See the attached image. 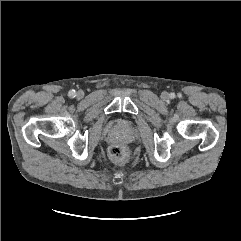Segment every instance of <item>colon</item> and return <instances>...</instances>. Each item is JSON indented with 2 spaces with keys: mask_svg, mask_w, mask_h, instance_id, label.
I'll use <instances>...</instances> for the list:
<instances>
[{
  "mask_svg": "<svg viewBox=\"0 0 241 241\" xmlns=\"http://www.w3.org/2000/svg\"><path fill=\"white\" fill-rule=\"evenodd\" d=\"M110 158L117 163L124 162L127 157V152L124 147L115 145L109 149Z\"/></svg>",
  "mask_w": 241,
  "mask_h": 241,
  "instance_id": "5ec220e1",
  "label": "colon"
}]
</instances>
